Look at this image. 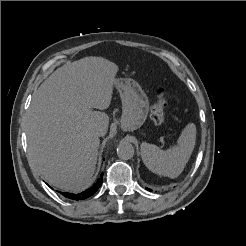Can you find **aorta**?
<instances>
[{"instance_id":"1","label":"aorta","mask_w":246,"mask_h":246,"mask_svg":"<svg viewBox=\"0 0 246 246\" xmlns=\"http://www.w3.org/2000/svg\"><path fill=\"white\" fill-rule=\"evenodd\" d=\"M134 147L127 141H121L117 148V155L123 160H129L134 156Z\"/></svg>"}]
</instances>
